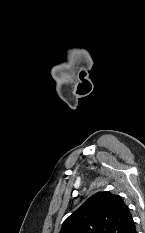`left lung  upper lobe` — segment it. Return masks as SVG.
<instances>
[{
    "mask_svg": "<svg viewBox=\"0 0 145 233\" xmlns=\"http://www.w3.org/2000/svg\"><path fill=\"white\" fill-rule=\"evenodd\" d=\"M134 229L135 222L122 198L98 192L63 222L59 233H132Z\"/></svg>",
    "mask_w": 145,
    "mask_h": 233,
    "instance_id": "obj_1",
    "label": "left lung upper lobe"
}]
</instances>
